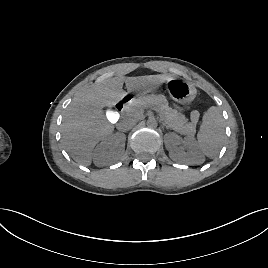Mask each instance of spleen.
<instances>
[{
  "instance_id": "1",
  "label": "spleen",
  "mask_w": 268,
  "mask_h": 268,
  "mask_svg": "<svg viewBox=\"0 0 268 268\" xmlns=\"http://www.w3.org/2000/svg\"><path fill=\"white\" fill-rule=\"evenodd\" d=\"M197 134L199 150L207 157L218 155L225 139V120L219 107L211 106L203 115Z\"/></svg>"
}]
</instances>
